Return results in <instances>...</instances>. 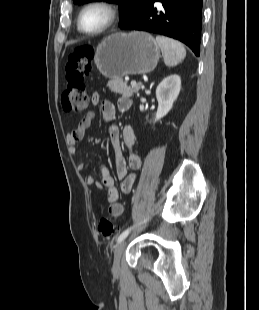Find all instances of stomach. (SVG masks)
Wrapping results in <instances>:
<instances>
[{"instance_id":"obj_1","label":"stomach","mask_w":259,"mask_h":310,"mask_svg":"<svg viewBox=\"0 0 259 310\" xmlns=\"http://www.w3.org/2000/svg\"><path fill=\"white\" fill-rule=\"evenodd\" d=\"M160 58V47L148 33H114L96 48L94 61L109 79L151 72Z\"/></svg>"}]
</instances>
